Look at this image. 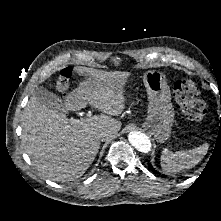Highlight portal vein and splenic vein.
<instances>
[{"mask_svg": "<svg viewBox=\"0 0 221 221\" xmlns=\"http://www.w3.org/2000/svg\"><path fill=\"white\" fill-rule=\"evenodd\" d=\"M87 116H88V117H91V116H92V113H91V112H88V113H87Z\"/></svg>", "mask_w": 221, "mask_h": 221, "instance_id": "portal-vein-and-splenic-vein-1", "label": "portal vein and splenic vein"}]
</instances>
